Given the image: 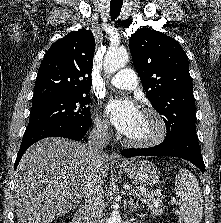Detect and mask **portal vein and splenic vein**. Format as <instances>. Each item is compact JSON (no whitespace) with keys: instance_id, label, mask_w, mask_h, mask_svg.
Returning <instances> with one entry per match:
<instances>
[{"instance_id":"obj_1","label":"portal vein and splenic vein","mask_w":221,"mask_h":223,"mask_svg":"<svg viewBox=\"0 0 221 223\" xmlns=\"http://www.w3.org/2000/svg\"><path fill=\"white\" fill-rule=\"evenodd\" d=\"M156 193H158V191ZM131 194L140 197V196H149L152 193H150V192H137V191H133V192H131Z\"/></svg>"}]
</instances>
